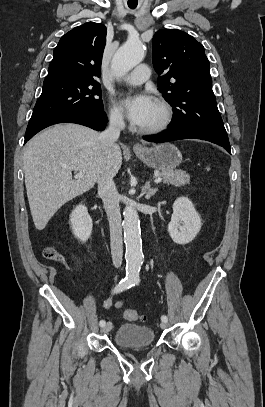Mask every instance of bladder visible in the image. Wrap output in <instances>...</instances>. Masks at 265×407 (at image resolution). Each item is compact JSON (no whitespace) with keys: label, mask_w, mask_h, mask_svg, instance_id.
Listing matches in <instances>:
<instances>
[{"label":"bladder","mask_w":265,"mask_h":407,"mask_svg":"<svg viewBox=\"0 0 265 407\" xmlns=\"http://www.w3.org/2000/svg\"><path fill=\"white\" fill-rule=\"evenodd\" d=\"M155 333L151 327L136 324L121 325L114 335V341L118 346L125 348H140L151 345Z\"/></svg>","instance_id":"obj_1"}]
</instances>
